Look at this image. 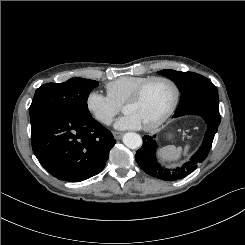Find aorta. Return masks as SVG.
<instances>
[{"label": "aorta", "mask_w": 245, "mask_h": 245, "mask_svg": "<svg viewBox=\"0 0 245 245\" xmlns=\"http://www.w3.org/2000/svg\"><path fill=\"white\" fill-rule=\"evenodd\" d=\"M123 143L130 149H136L142 145V138L137 133L128 132L123 136Z\"/></svg>", "instance_id": "762f6f07"}]
</instances>
